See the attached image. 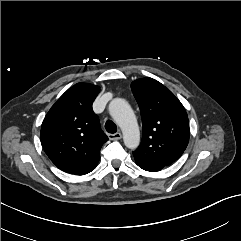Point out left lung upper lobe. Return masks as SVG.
<instances>
[{
    "label": "left lung upper lobe",
    "instance_id": "left-lung-upper-lobe-1",
    "mask_svg": "<svg viewBox=\"0 0 241 241\" xmlns=\"http://www.w3.org/2000/svg\"><path fill=\"white\" fill-rule=\"evenodd\" d=\"M142 116L143 136L133 151L136 164L146 171H160L186 149L190 130L185 108L163 84L141 78L131 84Z\"/></svg>",
    "mask_w": 241,
    "mask_h": 241
}]
</instances>
